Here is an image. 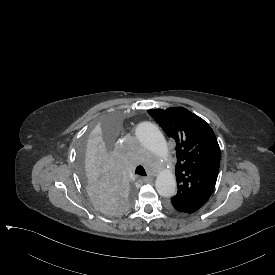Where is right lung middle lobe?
Here are the masks:
<instances>
[{"label": "right lung middle lobe", "instance_id": "obj_1", "mask_svg": "<svg viewBox=\"0 0 275 275\" xmlns=\"http://www.w3.org/2000/svg\"><path fill=\"white\" fill-rule=\"evenodd\" d=\"M121 126L119 114H103L86 131L78 154V173L88 196L97 209L113 216L126 212L135 194L112 148Z\"/></svg>", "mask_w": 275, "mask_h": 275}]
</instances>
